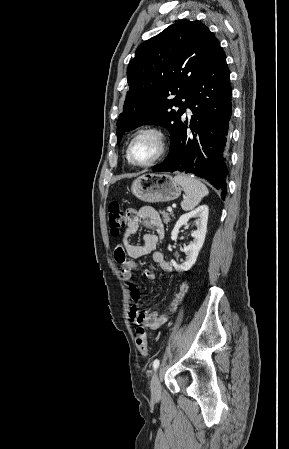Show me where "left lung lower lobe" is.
Instances as JSON below:
<instances>
[{
  "mask_svg": "<svg viewBox=\"0 0 289 449\" xmlns=\"http://www.w3.org/2000/svg\"><path fill=\"white\" fill-rule=\"evenodd\" d=\"M187 107L193 113L189 125L182 120L171 138L168 156L153 171H181L205 178L221 190L224 200L232 104L229 70L221 47L199 73L189 92ZM188 127L192 133L187 132Z\"/></svg>",
  "mask_w": 289,
  "mask_h": 449,
  "instance_id": "left-lung-lower-lobe-1",
  "label": "left lung lower lobe"
}]
</instances>
